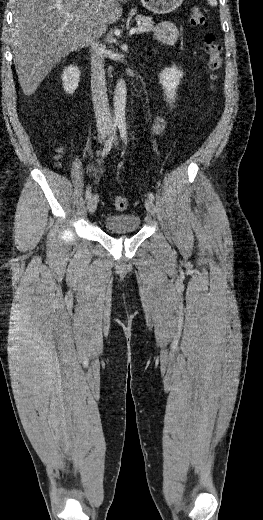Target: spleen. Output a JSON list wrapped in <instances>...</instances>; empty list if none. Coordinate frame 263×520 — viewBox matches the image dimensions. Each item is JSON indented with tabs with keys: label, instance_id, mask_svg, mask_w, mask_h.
<instances>
[{
	"label": "spleen",
	"instance_id": "3e777b00",
	"mask_svg": "<svg viewBox=\"0 0 263 520\" xmlns=\"http://www.w3.org/2000/svg\"><path fill=\"white\" fill-rule=\"evenodd\" d=\"M208 3H209L211 6H217V0H208Z\"/></svg>",
	"mask_w": 263,
	"mask_h": 520
}]
</instances>
